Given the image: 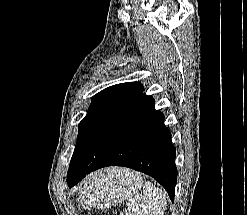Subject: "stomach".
Wrapping results in <instances>:
<instances>
[{
  "label": "stomach",
  "instance_id": "stomach-1",
  "mask_svg": "<svg viewBox=\"0 0 247 215\" xmlns=\"http://www.w3.org/2000/svg\"><path fill=\"white\" fill-rule=\"evenodd\" d=\"M119 168L97 172L88 179L81 192L83 201L91 207L110 206L125 199L128 195L141 187V181L137 174L118 172Z\"/></svg>",
  "mask_w": 247,
  "mask_h": 215
}]
</instances>
